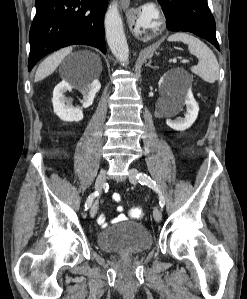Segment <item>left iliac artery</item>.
I'll return each mask as SVG.
<instances>
[{
  "label": "left iliac artery",
  "mask_w": 247,
  "mask_h": 299,
  "mask_svg": "<svg viewBox=\"0 0 247 299\" xmlns=\"http://www.w3.org/2000/svg\"><path fill=\"white\" fill-rule=\"evenodd\" d=\"M137 179L139 180V183L142 185H147L148 187H150L151 189H153L154 191H156L159 195V205L161 208L164 207L165 205V198L164 196L161 194L158 186L156 185V183L146 174L144 173H139L137 174Z\"/></svg>",
  "instance_id": "44dca946"
}]
</instances>
